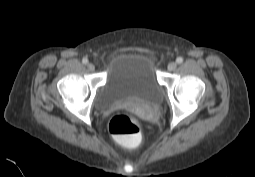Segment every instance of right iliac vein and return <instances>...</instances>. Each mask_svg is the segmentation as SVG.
Segmentation results:
<instances>
[{
  "label": "right iliac vein",
  "mask_w": 255,
  "mask_h": 177,
  "mask_svg": "<svg viewBox=\"0 0 255 177\" xmlns=\"http://www.w3.org/2000/svg\"><path fill=\"white\" fill-rule=\"evenodd\" d=\"M87 67H88L89 71H94V70H95V65L92 64V63H89V64L87 65Z\"/></svg>",
  "instance_id": "right-iliac-vein-1"
}]
</instances>
